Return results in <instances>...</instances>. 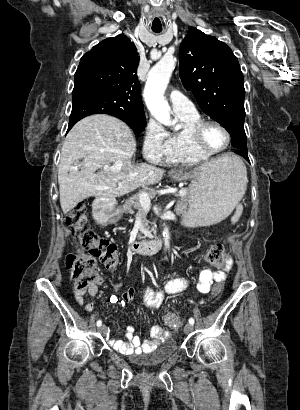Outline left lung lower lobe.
<instances>
[{
  "label": "left lung lower lobe",
  "mask_w": 300,
  "mask_h": 410,
  "mask_svg": "<svg viewBox=\"0 0 300 410\" xmlns=\"http://www.w3.org/2000/svg\"><path fill=\"white\" fill-rule=\"evenodd\" d=\"M236 153L241 155L242 157H244L247 161H249L248 153H245V152H242V151H236Z\"/></svg>",
  "instance_id": "0a47b994"
}]
</instances>
